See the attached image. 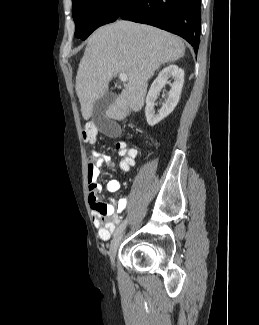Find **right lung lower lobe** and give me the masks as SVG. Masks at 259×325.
<instances>
[{
    "instance_id": "98d812e1",
    "label": "right lung lower lobe",
    "mask_w": 259,
    "mask_h": 325,
    "mask_svg": "<svg viewBox=\"0 0 259 325\" xmlns=\"http://www.w3.org/2000/svg\"><path fill=\"white\" fill-rule=\"evenodd\" d=\"M117 19L149 24L172 32L190 43L195 52L198 51L201 0H127Z\"/></svg>"
}]
</instances>
